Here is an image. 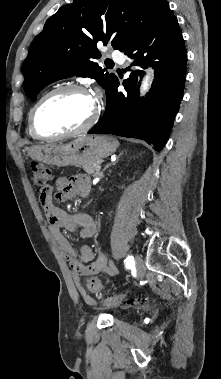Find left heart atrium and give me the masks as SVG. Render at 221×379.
Wrapping results in <instances>:
<instances>
[{"label": "left heart atrium", "mask_w": 221, "mask_h": 379, "mask_svg": "<svg viewBox=\"0 0 221 379\" xmlns=\"http://www.w3.org/2000/svg\"><path fill=\"white\" fill-rule=\"evenodd\" d=\"M93 99V101L95 102L96 100H97V98L95 97V98H92Z\"/></svg>", "instance_id": "left-heart-atrium-1"}]
</instances>
